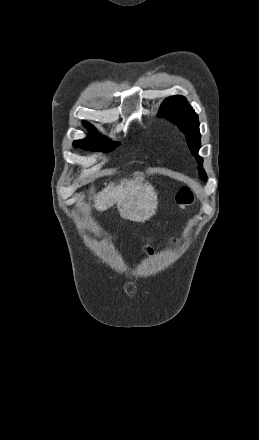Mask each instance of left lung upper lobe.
<instances>
[{"label": "left lung upper lobe", "instance_id": "5c2ea615", "mask_svg": "<svg viewBox=\"0 0 259 440\" xmlns=\"http://www.w3.org/2000/svg\"><path fill=\"white\" fill-rule=\"evenodd\" d=\"M158 116L166 117V119L176 124L185 134L190 151L195 155L199 164L198 171L200 178L206 181V173L202 168L203 160L198 156L201 137L199 133L198 116L194 110L187 105V100L179 95L167 98L161 105Z\"/></svg>", "mask_w": 259, "mask_h": 440}]
</instances>
